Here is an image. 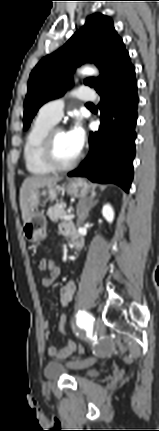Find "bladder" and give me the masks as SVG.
Instances as JSON below:
<instances>
[{
    "mask_svg": "<svg viewBox=\"0 0 159 431\" xmlns=\"http://www.w3.org/2000/svg\"><path fill=\"white\" fill-rule=\"evenodd\" d=\"M68 372V368L58 362H51L45 368V374L47 377L54 379ZM84 377H94L98 375V371L95 369H84L80 373Z\"/></svg>",
    "mask_w": 159,
    "mask_h": 431,
    "instance_id": "1",
    "label": "bladder"
}]
</instances>
